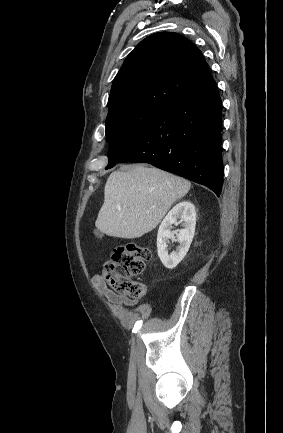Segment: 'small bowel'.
<instances>
[{"mask_svg":"<svg viewBox=\"0 0 283 433\" xmlns=\"http://www.w3.org/2000/svg\"><path fill=\"white\" fill-rule=\"evenodd\" d=\"M92 282L99 294L115 305V311L123 323L132 325L136 321L137 314L128 309L136 306L138 299H131L111 292L100 275H95Z\"/></svg>","mask_w":283,"mask_h":433,"instance_id":"small-bowel-1","label":"small bowel"}]
</instances>
